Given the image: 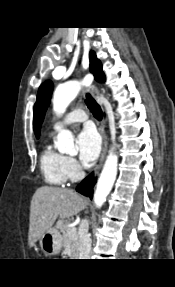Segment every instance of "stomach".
I'll list each match as a JSON object with an SVG mask.
<instances>
[{
	"instance_id": "0dacf381",
	"label": "stomach",
	"mask_w": 175,
	"mask_h": 287,
	"mask_svg": "<svg viewBox=\"0 0 175 287\" xmlns=\"http://www.w3.org/2000/svg\"><path fill=\"white\" fill-rule=\"evenodd\" d=\"M39 245L47 255L58 254L62 248V237L59 231L51 228L39 239Z\"/></svg>"
}]
</instances>
